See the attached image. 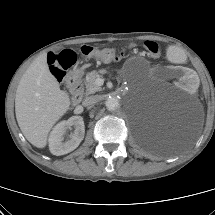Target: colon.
<instances>
[{
  "label": "colon",
  "mask_w": 215,
  "mask_h": 215,
  "mask_svg": "<svg viewBox=\"0 0 215 215\" xmlns=\"http://www.w3.org/2000/svg\"><path fill=\"white\" fill-rule=\"evenodd\" d=\"M145 48L148 54L152 57H157L160 54L158 45L154 42H145ZM80 53L84 56H93L104 61H113L117 54L113 48H98L90 45H83L80 48ZM76 53L72 50H64L60 53H50L48 55V64L51 73L56 79L61 81L65 72L75 63Z\"/></svg>",
  "instance_id": "5ec220e1"
}]
</instances>
